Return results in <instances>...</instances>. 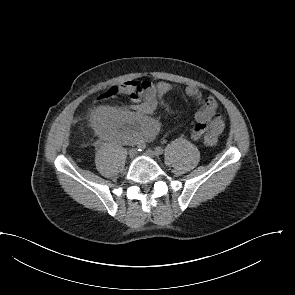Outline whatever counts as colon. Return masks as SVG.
Wrapping results in <instances>:
<instances>
[{"mask_svg":"<svg viewBox=\"0 0 295 295\" xmlns=\"http://www.w3.org/2000/svg\"><path fill=\"white\" fill-rule=\"evenodd\" d=\"M118 91H119V89L117 87H113V88L109 89L107 92H105L104 94H102L99 97V100L111 99L112 97H114L116 95V93ZM217 141H218V136H216L214 134L207 133L204 135V142L209 146L216 145Z\"/></svg>","mask_w":295,"mask_h":295,"instance_id":"colon-1","label":"colon"}]
</instances>
